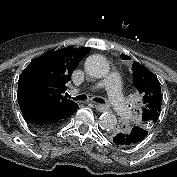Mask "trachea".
<instances>
[{
  "label": "trachea",
  "instance_id": "obj_1",
  "mask_svg": "<svg viewBox=\"0 0 177 177\" xmlns=\"http://www.w3.org/2000/svg\"><path fill=\"white\" fill-rule=\"evenodd\" d=\"M66 96L67 97H70L68 94H66ZM71 98V97H70ZM87 98V96L86 95H79V96H76V97H74V98H72V99H74V100H85ZM94 100L96 101V102H99V103H105V101L102 99V98H94Z\"/></svg>",
  "mask_w": 177,
  "mask_h": 177
}]
</instances>
